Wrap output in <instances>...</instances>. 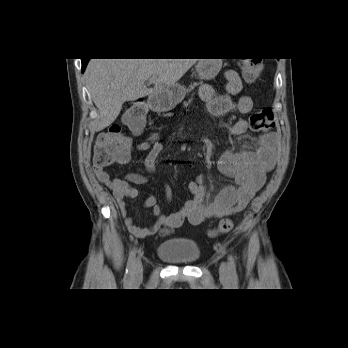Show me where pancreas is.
<instances>
[{
  "label": "pancreas",
  "mask_w": 348,
  "mask_h": 348,
  "mask_svg": "<svg viewBox=\"0 0 348 348\" xmlns=\"http://www.w3.org/2000/svg\"><path fill=\"white\" fill-rule=\"evenodd\" d=\"M199 84L198 83H193L191 84L188 89H186V92H191L196 86H198Z\"/></svg>",
  "instance_id": "cf45deb5"
}]
</instances>
